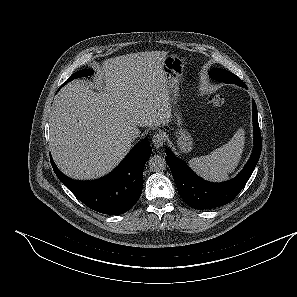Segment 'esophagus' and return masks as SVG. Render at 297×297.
Segmentation results:
<instances>
[{
    "label": "esophagus",
    "mask_w": 297,
    "mask_h": 297,
    "mask_svg": "<svg viewBox=\"0 0 297 297\" xmlns=\"http://www.w3.org/2000/svg\"><path fill=\"white\" fill-rule=\"evenodd\" d=\"M164 135L162 133H155L152 137V143L156 148H161L164 145Z\"/></svg>",
    "instance_id": "esophagus-1"
}]
</instances>
